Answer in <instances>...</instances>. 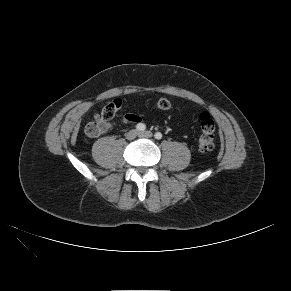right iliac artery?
I'll use <instances>...</instances> for the list:
<instances>
[{"label": "right iliac artery", "mask_w": 291, "mask_h": 291, "mask_svg": "<svg viewBox=\"0 0 291 291\" xmlns=\"http://www.w3.org/2000/svg\"><path fill=\"white\" fill-rule=\"evenodd\" d=\"M136 129L139 130V131H144L146 129V125L143 124V123H138L136 125Z\"/></svg>", "instance_id": "obj_1"}]
</instances>
